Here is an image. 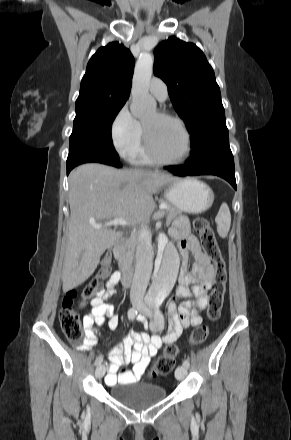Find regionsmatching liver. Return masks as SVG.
<instances>
[{
  "mask_svg": "<svg viewBox=\"0 0 291 440\" xmlns=\"http://www.w3.org/2000/svg\"><path fill=\"white\" fill-rule=\"evenodd\" d=\"M175 179L157 171L117 170L97 163L81 165L70 173L64 292L84 283L96 270L105 250L122 237V231L94 225L118 218L129 225L145 222L155 207L153 194Z\"/></svg>",
  "mask_w": 291,
  "mask_h": 440,
  "instance_id": "1",
  "label": "liver"
}]
</instances>
